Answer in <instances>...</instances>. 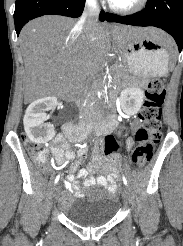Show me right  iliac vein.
I'll return each instance as SVG.
<instances>
[{
    "mask_svg": "<svg viewBox=\"0 0 183 246\" xmlns=\"http://www.w3.org/2000/svg\"><path fill=\"white\" fill-rule=\"evenodd\" d=\"M60 193V185H57L53 190V199L56 200Z\"/></svg>",
    "mask_w": 183,
    "mask_h": 246,
    "instance_id": "63e3f726",
    "label": "right iliac vein"
}]
</instances>
